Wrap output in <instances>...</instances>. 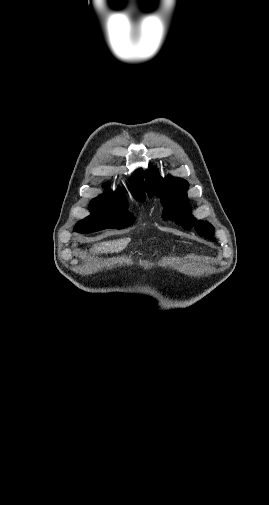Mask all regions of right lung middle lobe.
Wrapping results in <instances>:
<instances>
[{
  "instance_id": "dd1d6c3e",
  "label": "right lung middle lobe",
  "mask_w": 269,
  "mask_h": 505,
  "mask_svg": "<svg viewBox=\"0 0 269 505\" xmlns=\"http://www.w3.org/2000/svg\"><path fill=\"white\" fill-rule=\"evenodd\" d=\"M126 201H92L91 215L80 221L74 231L90 233L107 228L122 229L133 223L132 215L126 210Z\"/></svg>"
}]
</instances>
